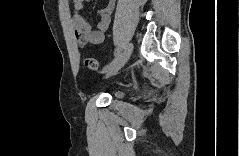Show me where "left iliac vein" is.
Segmentation results:
<instances>
[{"mask_svg":"<svg viewBox=\"0 0 239 156\" xmlns=\"http://www.w3.org/2000/svg\"><path fill=\"white\" fill-rule=\"evenodd\" d=\"M133 52V44L129 43L126 48L124 49L119 61L116 63V65H114L113 67H111L110 69H108L105 72V78H109L113 75H115L125 64L126 62L129 60L131 54Z\"/></svg>","mask_w":239,"mask_h":156,"instance_id":"left-iliac-vein-1","label":"left iliac vein"}]
</instances>
